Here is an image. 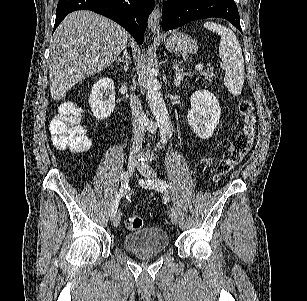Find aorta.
Segmentation results:
<instances>
[{"instance_id": "762f6f07", "label": "aorta", "mask_w": 307, "mask_h": 301, "mask_svg": "<svg viewBox=\"0 0 307 301\" xmlns=\"http://www.w3.org/2000/svg\"><path fill=\"white\" fill-rule=\"evenodd\" d=\"M145 84L150 110L156 122H158L160 142H167V138L172 134L173 126L167 106L164 102L163 94L160 90L161 84L159 80L155 78L151 64H146L145 66ZM160 142H158V144H160Z\"/></svg>"}]
</instances>
